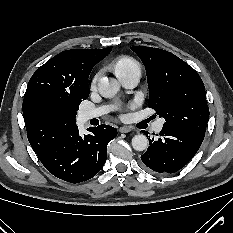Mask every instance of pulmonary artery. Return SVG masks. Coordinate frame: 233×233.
<instances>
[{"label":"pulmonary artery","instance_id":"1","mask_svg":"<svg viewBox=\"0 0 233 233\" xmlns=\"http://www.w3.org/2000/svg\"><path fill=\"white\" fill-rule=\"evenodd\" d=\"M121 84L126 88L135 87L141 77L140 68H133L117 76ZM107 111L106 107H99L92 110H85L81 113V120L86 122L90 119L100 117ZM164 119H159L154 123L153 130L160 132L163 128Z\"/></svg>","mask_w":233,"mask_h":233}]
</instances>
